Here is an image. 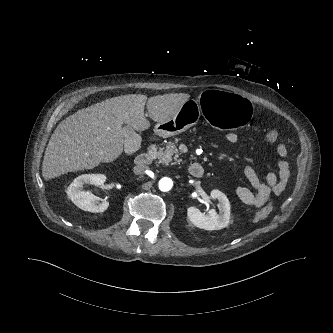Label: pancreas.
I'll return each mask as SVG.
<instances>
[{
    "label": "pancreas",
    "instance_id": "obj_1",
    "mask_svg": "<svg viewBox=\"0 0 333 333\" xmlns=\"http://www.w3.org/2000/svg\"><path fill=\"white\" fill-rule=\"evenodd\" d=\"M157 158L159 159L160 163L163 164H176L180 163L179 155H178V149L175 146L174 142L168 143L165 149L160 148V150L157 153ZM174 160L175 162H172Z\"/></svg>",
    "mask_w": 333,
    "mask_h": 333
}]
</instances>
